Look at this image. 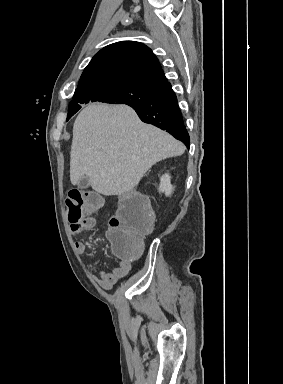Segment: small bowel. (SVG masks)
Instances as JSON below:
<instances>
[{
    "instance_id": "obj_1",
    "label": "small bowel",
    "mask_w": 283,
    "mask_h": 384,
    "mask_svg": "<svg viewBox=\"0 0 283 384\" xmlns=\"http://www.w3.org/2000/svg\"><path fill=\"white\" fill-rule=\"evenodd\" d=\"M95 218L92 216L86 217L83 222L78 226L71 225V232L73 235H78L82 232L89 231L95 226ZM75 249L79 254H86V245L82 241L75 243ZM131 270V263L129 261H121L117 267L111 271H101L100 277L97 279L99 285L104 289L112 288L119 280L124 278Z\"/></svg>"
}]
</instances>
